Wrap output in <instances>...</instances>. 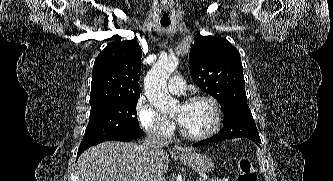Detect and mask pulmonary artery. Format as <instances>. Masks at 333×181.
<instances>
[{
	"instance_id": "e3ab8cb5",
	"label": "pulmonary artery",
	"mask_w": 333,
	"mask_h": 181,
	"mask_svg": "<svg viewBox=\"0 0 333 181\" xmlns=\"http://www.w3.org/2000/svg\"><path fill=\"white\" fill-rule=\"evenodd\" d=\"M168 88L172 94H181L185 89V83L181 77L174 76L170 79Z\"/></svg>"
}]
</instances>
